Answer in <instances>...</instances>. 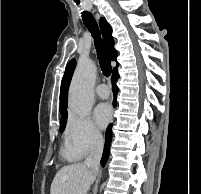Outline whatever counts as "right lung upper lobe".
I'll return each instance as SVG.
<instances>
[{"label":"right lung upper lobe","instance_id":"right-lung-upper-lobe-1","mask_svg":"<svg viewBox=\"0 0 201 194\" xmlns=\"http://www.w3.org/2000/svg\"><path fill=\"white\" fill-rule=\"evenodd\" d=\"M100 29H101L106 47L108 49L110 58L111 60L115 61L118 53L114 49L115 42L112 36V28L104 17L100 18ZM75 66H76V61L73 59L67 64L64 76L62 78L61 90H60V112L63 118L67 117L66 109H67L68 88H69V84H70ZM115 70H117V67L114 68L113 71Z\"/></svg>","mask_w":201,"mask_h":194}]
</instances>
